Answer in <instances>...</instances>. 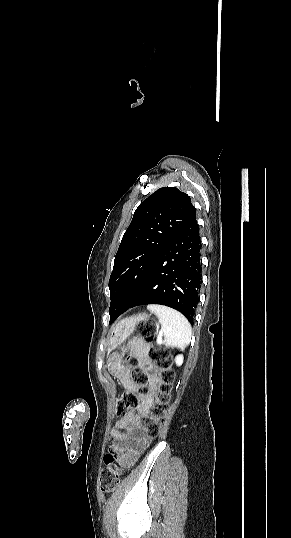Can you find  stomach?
<instances>
[{"label":"stomach","mask_w":291,"mask_h":538,"mask_svg":"<svg viewBox=\"0 0 291 538\" xmlns=\"http://www.w3.org/2000/svg\"><path fill=\"white\" fill-rule=\"evenodd\" d=\"M148 319L146 314H139L125 318L118 322L111 330V336L109 340V346L113 350L120 346L127 338L133 333L135 326L138 322Z\"/></svg>","instance_id":"1"}]
</instances>
